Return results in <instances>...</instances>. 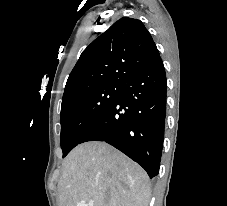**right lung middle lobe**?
<instances>
[{"instance_id": "right-lung-middle-lobe-1", "label": "right lung middle lobe", "mask_w": 227, "mask_h": 206, "mask_svg": "<svg viewBox=\"0 0 227 206\" xmlns=\"http://www.w3.org/2000/svg\"><path fill=\"white\" fill-rule=\"evenodd\" d=\"M121 91L122 83H104L78 91L62 100L63 157L81 143L88 130L117 100Z\"/></svg>"}]
</instances>
